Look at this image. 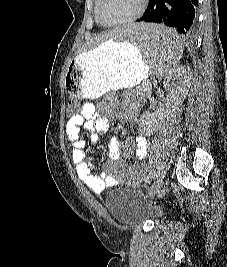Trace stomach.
Wrapping results in <instances>:
<instances>
[{
  "mask_svg": "<svg viewBox=\"0 0 227 267\" xmlns=\"http://www.w3.org/2000/svg\"><path fill=\"white\" fill-rule=\"evenodd\" d=\"M149 69L150 63L142 59L138 47L112 38L75 56L62 83H66L69 96L95 99L109 90L138 85Z\"/></svg>",
  "mask_w": 227,
  "mask_h": 267,
  "instance_id": "obj_1",
  "label": "stomach"
}]
</instances>
